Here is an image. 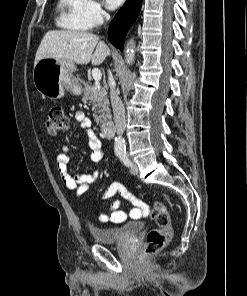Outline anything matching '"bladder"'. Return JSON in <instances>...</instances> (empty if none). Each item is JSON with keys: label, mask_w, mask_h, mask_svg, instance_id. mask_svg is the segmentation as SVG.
<instances>
[{"label": "bladder", "mask_w": 247, "mask_h": 296, "mask_svg": "<svg viewBox=\"0 0 247 296\" xmlns=\"http://www.w3.org/2000/svg\"><path fill=\"white\" fill-rule=\"evenodd\" d=\"M143 227V222L132 221L115 228L90 227V232L97 243L111 244L126 241L139 233Z\"/></svg>", "instance_id": "bladder-1"}]
</instances>
